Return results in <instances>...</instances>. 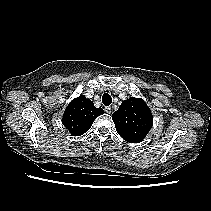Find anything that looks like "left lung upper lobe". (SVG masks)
I'll return each mask as SVG.
<instances>
[{"label": "left lung upper lobe", "mask_w": 211, "mask_h": 211, "mask_svg": "<svg viewBox=\"0 0 211 211\" xmlns=\"http://www.w3.org/2000/svg\"><path fill=\"white\" fill-rule=\"evenodd\" d=\"M112 119L118 134L130 143L141 142L153 125L152 113L141 98L123 101Z\"/></svg>", "instance_id": "left-lung-upper-lobe-1"}]
</instances>
